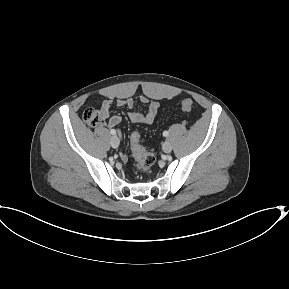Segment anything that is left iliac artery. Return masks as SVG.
Returning a JSON list of instances; mask_svg holds the SVG:
<instances>
[{
	"label": "left iliac artery",
	"mask_w": 289,
	"mask_h": 289,
	"mask_svg": "<svg viewBox=\"0 0 289 289\" xmlns=\"http://www.w3.org/2000/svg\"><path fill=\"white\" fill-rule=\"evenodd\" d=\"M169 135V132L168 131H164L163 132V136L167 137Z\"/></svg>",
	"instance_id": "44dca946"
}]
</instances>
